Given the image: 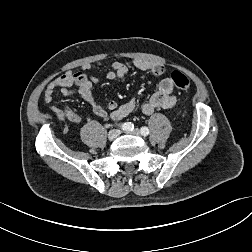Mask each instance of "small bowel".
<instances>
[{"label":"small bowel","instance_id":"c3829d8e","mask_svg":"<svg viewBox=\"0 0 252 252\" xmlns=\"http://www.w3.org/2000/svg\"><path fill=\"white\" fill-rule=\"evenodd\" d=\"M133 66L137 69L150 72L158 78L163 77L165 74V68L160 63L136 59L133 61ZM89 68L90 66L86 65L81 71H68L53 80L45 90V102L50 104L55 98V92L60 90L65 97L78 94L90 106L93 113L102 118H111L114 121H120L130 115L137 106L136 96L124 104L119 105L115 101H110L106 107H103L92 93L93 84L99 83L100 79L94 74H89L87 72ZM127 73L128 67L116 61L111 65L106 78L108 80H122L127 76ZM173 90L174 83L171 78H162L158 83V90L142 104V112L150 115L157 109H169L173 107L177 102V97L173 93ZM50 110L58 118L70 123L79 124L81 122L80 115L67 106L62 108L51 106Z\"/></svg>","mask_w":252,"mask_h":252}]
</instances>
